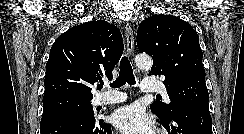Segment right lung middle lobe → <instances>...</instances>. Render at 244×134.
Returning a JSON list of instances; mask_svg holds the SVG:
<instances>
[{
  "label": "right lung middle lobe",
  "instance_id": "right-lung-middle-lobe-1",
  "mask_svg": "<svg viewBox=\"0 0 244 134\" xmlns=\"http://www.w3.org/2000/svg\"><path fill=\"white\" fill-rule=\"evenodd\" d=\"M69 114H79L86 117H93L94 111L90 103V99L63 96L43 100V116L41 118L40 126L54 117Z\"/></svg>",
  "mask_w": 244,
  "mask_h": 134
}]
</instances>
